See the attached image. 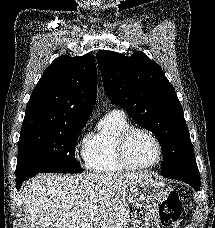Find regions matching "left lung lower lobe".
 Returning a JSON list of instances; mask_svg holds the SVG:
<instances>
[{
  "label": "left lung lower lobe",
  "mask_w": 215,
  "mask_h": 228,
  "mask_svg": "<svg viewBox=\"0 0 215 228\" xmlns=\"http://www.w3.org/2000/svg\"><path fill=\"white\" fill-rule=\"evenodd\" d=\"M162 176L186 182L196 191L200 189V176L196 162L186 164L171 172L162 173Z\"/></svg>",
  "instance_id": "1"
}]
</instances>
